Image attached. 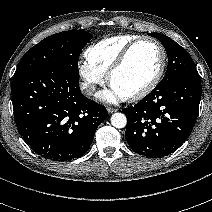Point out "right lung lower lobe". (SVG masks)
I'll list each match as a JSON object with an SVG mask.
<instances>
[{"instance_id":"98d812e1","label":"right lung lower lobe","mask_w":212,"mask_h":212,"mask_svg":"<svg viewBox=\"0 0 212 212\" xmlns=\"http://www.w3.org/2000/svg\"><path fill=\"white\" fill-rule=\"evenodd\" d=\"M12 103L23 139L35 153L54 161L84 155L108 116L103 105L81 93L79 79L52 68L15 75Z\"/></svg>"}]
</instances>
